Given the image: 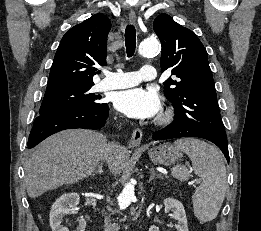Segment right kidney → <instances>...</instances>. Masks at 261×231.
I'll return each instance as SVG.
<instances>
[{"instance_id":"ca27d5eb","label":"right kidney","mask_w":261,"mask_h":231,"mask_svg":"<svg viewBox=\"0 0 261 231\" xmlns=\"http://www.w3.org/2000/svg\"><path fill=\"white\" fill-rule=\"evenodd\" d=\"M79 195L77 193H67L60 196L52 205L49 223L52 231H68L61 225L63 217L67 214H75L78 211ZM86 221L83 218L78 219V225L75 231H85Z\"/></svg>"}]
</instances>
